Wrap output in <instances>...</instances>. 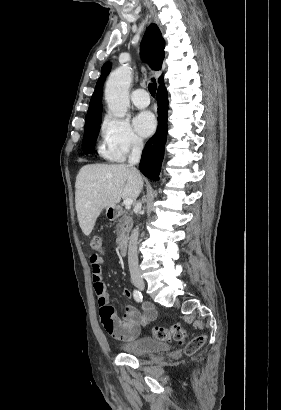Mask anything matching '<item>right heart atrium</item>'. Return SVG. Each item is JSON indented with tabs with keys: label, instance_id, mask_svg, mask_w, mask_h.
Segmentation results:
<instances>
[{
	"label": "right heart atrium",
	"instance_id": "obj_1",
	"mask_svg": "<svg viewBox=\"0 0 281 410\" xmlns=\"http://www.w3.org/2000/svg\"><path fill=\"white\" fill-rule=\"evenodd\" d=\"M102 154L111 161H123L128 154L143 148L142 139L130 123L110 114L101 123Z\"/></svg>",
	"mask_w": 281,
	"mask_h": 410
}]
</instances>
